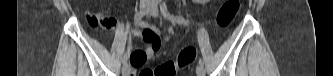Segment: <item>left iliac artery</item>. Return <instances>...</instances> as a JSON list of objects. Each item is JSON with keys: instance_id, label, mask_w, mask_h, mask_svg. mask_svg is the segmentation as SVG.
Wrapping results in <instances>:
<instances>
[{"instance_id": "44dca946", "label": "left iliac artery", "mask_w": 333, "mask_h": 76, "mask_svg": "<svg viewBox=\"0 0 333 76\" xmlns=\"http://www.w3.org/2000/svg\"><path fill=\"white\" fill-rule=\"evenodd\" d=\"M161 8V12L163 13V15L166 17V18H169L173 21H176L178 24H181V25H186L187 21L185 20V18L181 15L179 16H174L172 14L169 13V11L167 10V6L165 4V2H163L160 6ZM203 60L200 58L199 59V64H202L203 65Z\"/></svg>"}]
</instances>
